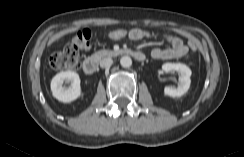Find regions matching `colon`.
Segmentation results:
<instances>
[{"instance_id": "1", "label": "colon", "mask_w": 244, "mask_h": 157, "mask_svg": "<svg viewBox=\"0 0 244 157\" xmlns=\"http://www.w3.org/2000/svg\"><path fill=\"white\" fill-rule=\"evenodd\" d=\"M91 32L88 29L78 31L71 42L61 51L53 53L49 58L50 66L55 70H75L80 65V50L88 49L90 46ZM129 36L127 29H114L108 32L111 40H121ZM190 50H196L194 44H190Z\"/></svg>"}]
</instances>
